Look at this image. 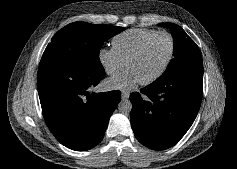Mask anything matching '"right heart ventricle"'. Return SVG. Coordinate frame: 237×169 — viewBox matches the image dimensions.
I'll use <instances>...</instances> for the list:
<instances>
[{
	"mask_svg": "<svg viewBox=\"0 0 237 169\" xmlns=\"http://www.w3.org/2000/svg\"><path fill=\"white\" fill-rule=\"evenodd\" d=\"M157 31L147 28H137L124 31L112 40V47L126 63L127 59L138 49L142 42Z\"/></svg>",
	"mask_w": 237,
	"mask_h": 169,
	"instance_id": "obj_1",
	"label": "right heart ventricle"
}]
</instances>
